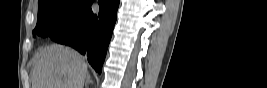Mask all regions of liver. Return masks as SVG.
Segmentation results:
<instances>
[{"label":"liver","mask_w":267,"mask_h":88,"mask_svg":"<svg viewBox=\"0 0 267 88\" xmlns=\"http://www.w3.org/2000/svg\"><path fill=\"white\" fill-rule=\"evenodd\" d=\"M87 73V63L78 52L50 45L34 65L32 88H83Z\"/></svg>","instance_id":"liver-1"}]
</instances>
